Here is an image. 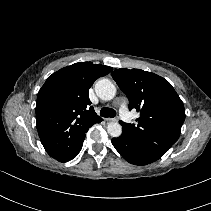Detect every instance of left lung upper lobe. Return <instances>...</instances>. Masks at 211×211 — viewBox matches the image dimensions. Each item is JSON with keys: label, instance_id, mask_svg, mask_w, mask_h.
<instances>
[{"label": "left lung upper lobe", "instance_id": "1", "mask_svg": "<svg viewBox=\"0 0 211 211\" xmlns=\"http://www.w3.org/2000/svg\"><path fill=\"white\" fill-rule=\"evenodd\" d=\"M111 75L129 99V109L140 112L137 124H120L148 152L162 157L180 136L185 120L182 100L166 79L154 73L121 68Z\"/></svg>", "mask_w": 211, "mask_h": 211}]
</instances>
